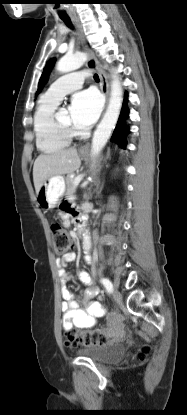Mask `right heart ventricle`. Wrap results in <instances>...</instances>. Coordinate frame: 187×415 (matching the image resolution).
<instances>
[{
	"label": "right heart ventricle",
	"instance_id": "right-heart-ventricle-1",
	"mask_svg": "<svg viewBox=\"0 0 187 415\" xmlns=\"http://www.w3.org/2000/svg\"><path fill=\"white\" fill-rule=\"evenodd\" d=\"M58 101L50 100L44 95L34 114L33 124L38 149L44 153H54L70 144V137L56 125L54 112Z\"/></svg>",
	"mask_w": 187,
	"mask_h": 415
}]
</instances>
